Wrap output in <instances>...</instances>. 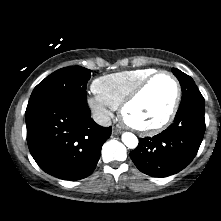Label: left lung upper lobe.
Here are the masks:
<instances>
[{"label":"left lung upper lobe","mask_w":221,"mask_h":221,"mask_svg":"<svg viewBox=\"0 0 221 221\" xmlns=\"http://www.w3.org/2000/svg\"><path fill=\"white\" fill-rule=\"evenodd\" d=\"M172 71L180 81L182 88V100L179 107L188 103H205L202 94L190 76L176 68H173Z\"/></svg>","instance_id":"left-lung-upper-lobe-1"}]
</instances>
